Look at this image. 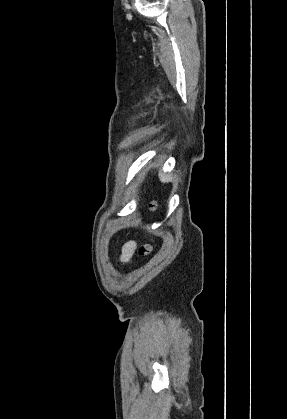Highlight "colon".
<instances>
[{"label":"colon","instance_id":"obj_1","mask_svg":"<svg viewBox=\"0 0 287 419\" xmlns=\"http://www.w3.org/2000/svg\"><path fill=\"white\" fill-rule=\"evenodd\" d=\"M150 207L153 210L157 209L158 208V202L153 201L150 204ZM152 249H153L152 244L146 243V244H144L140 247L139 254H140V256H147L148 254H150L152 252Z\"/></svg>","mask_w":287,"mask_h":419}]
</instances>
